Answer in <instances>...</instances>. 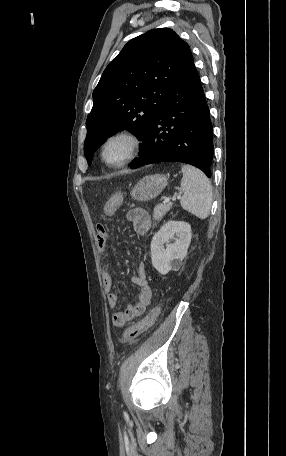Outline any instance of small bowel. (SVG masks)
<instances>
[{
	"label": "small bowel",
	"mask_w": 286,
	"mask_h": 456,
	"mask_svg": "<svg viewBox=\"0 0 286 456\" xmlns=\"http://www.w3.org/2000/svg\"><path fill=\"white\" fill-rule=\"evenodd\" d=\"M116 209L117 206H113L110 203H107L104 207L106 215H112ZM127 219L132 223L134 231L139 235L146 234L150 230L151 219L148 212L143 208L135 207L130 209L127 213ZM96 242L99 252L103 254L108 245V232L103 224H98L96 227ZM102 281L107 291L108 305L111 308H115L118 304V296L112 292L114 283L107 271L103 272ZM130 281L139 288L138 301L113 314L112 323L116 327H121L133 318L142 315L151 300L152 291L148 282L147 267L144 262L139 263L137 272L130 278Z\"/></svg>",
	"instance_id": "1"
}]
</instances>
